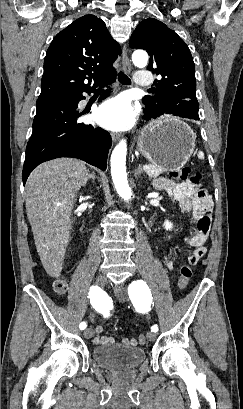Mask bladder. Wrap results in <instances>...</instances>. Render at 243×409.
<instances>
[{
    "instance_id": "bladder-1",
    "label": "bladder",
    "mask_w": 243,
    "mask_h": 409,
    "mask_svg": "<svg viewBox=\"0 0 243 409\" xmlns=\"http://www.w3.org/2000/svg\"><path fill=\"white\" fill-rule=\"evenodd\" d=\"M92 356L100 366L121 373L138 367L145 360L146 353L141 347L110 343L96 346Z\"/></svg>"
}]
</instances>
